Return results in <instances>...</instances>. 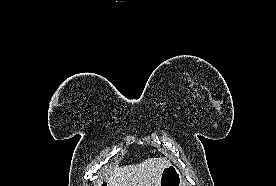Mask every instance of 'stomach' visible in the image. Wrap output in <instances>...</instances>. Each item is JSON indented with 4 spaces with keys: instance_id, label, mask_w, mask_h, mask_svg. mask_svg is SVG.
Returning a JSON list of instances; mask_svg holds the SVG:
<instances>
[{
    "instance_id": "1",
    "label": "stomach",
    "mask_w": 276,
    "mask_h": 186,
    "mask_svg": "<svg viewBox=\"0 0 276 186\" xmlns=\"http://www.w3.org/2000/svg\"><path fill=\"white\" fill-rule=\"evenodd\" d=\"M159 186H184V180L179 169L172 164L165 167L160 176Z\"/></svg>"
}]
</instances>
